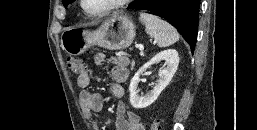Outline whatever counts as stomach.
Instances as JSON below:
<instances>
[{"mask_svg":"<svg viewBox=\"0 0 257 130\" xmlns=\"http://www.w3.org/2000/svg\"><path fill=\"white\" fill-rule=\"evenodd\" d=\"M136 26L127 15H115L93 31L68 27L61 34V47L69 55H80L92 46L108 50L129 47L136 33Z\"/></svg>","mask_w":257,"mask_h":130,"instance_id":"obj_1","label":"stomach"}]
</instances>
